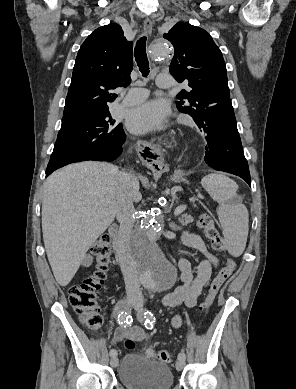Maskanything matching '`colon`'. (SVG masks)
I'll return each mask as SVG.
<instances>
[{
  "label": "colon",
  "mask_w": 296,
  "mask_h": 389,
  "mask_svg": "<svg viewBox=\"0 0 296 389\" xmlns=\"http://www.w3.org/2000/svg\"><path fill=\"white\" fill-rule=\"evenodd\" d=\"M199 226L203 229L206 238L216 251L225 249L224 240L216 228L212 218L207 213H202L198 221ZM91 252L95 257V272L85 278L79 284L73 285L68 290V299L80 316L82 323L90 330L99 329L102 324V317L97 303V292L102 287L106 279V272L111 260L112 244L108 234L101 235L93 244ZM236 263L232 258L227 259L225 265L219 270L216 277L212 280L209 291L203 302L199 306L201 313L206 314L214 303L221 287L225 281L234 273ZM125 347L129 350L135 347L133 339L125 341ZM147 355L160 362H169L171 354L167 350L147 349Z\"/></svg>",
  "instance_id": "obj_1"
}]
</instances>
